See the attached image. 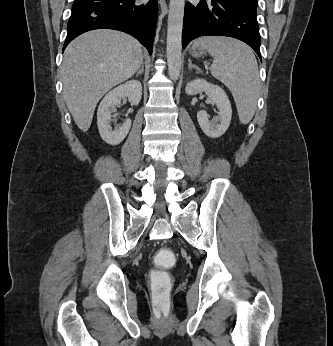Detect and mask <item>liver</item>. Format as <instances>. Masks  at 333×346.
<instances>
[{
	"label": "liver",
	"mask_w": 333,
	"mask_h": 346,
	"mask_svg": "<svg viewBox=\"0 0 333 346\" xmlns=\"http://www.w3.org/2000/svg\"><path fill=\"white\" fill-rule=\"evenodd\" d=\"M142 62L140 43L119 31H89L68 45L62 63L63 97L79 129L90 128L102 96L131 78Z\"/></svg>",
	"instance_id": "6515ba94"
}]
</instances>
